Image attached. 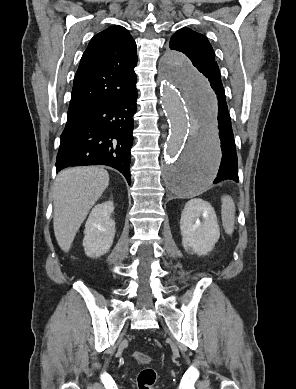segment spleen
I'll return each instance as SVG.
<instances>
[{"label": "spleen", "instance_id": "obj_1", "mask_svg": "<svg viewBox=\"0 0 296 389\" xmlns=\"http://www.w3.org/2000/svg\"><path fill=\"white\" fill-rule=\"evenodd\" d=\"M222 224L225 232L231 235L234 231L235 222V204L231 196L222 197Z\"/></svg>", "mask_w": 296, "mask_h": 389}]
</instances>
